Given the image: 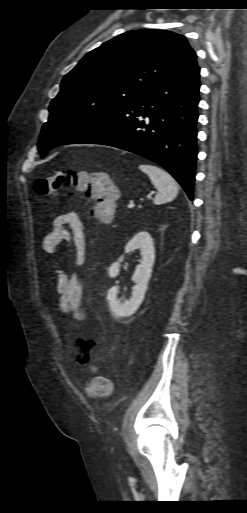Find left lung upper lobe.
<instances>
[{"label": "left lung upper lobe", "mask_w": 247, "mask_h": 513, "mask_svg": "<svg viewBox=\"0 0 247 513\" xmlns=\"http://www.w3.org/2000/svg\"><path fill=\"white\" fill-rule=\"evenodd\" d=\"M195 56L185 37L157 29L126 32L92 50L63 78L49 106L38 142L41 157L168 81Z\"/></svg>", "instance_id": "left-lung-upper-lobe-1"}]
</instances>
